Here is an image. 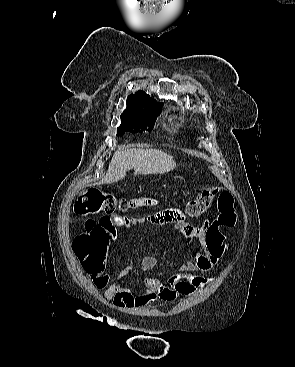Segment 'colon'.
<instances>
[{
  "label": "colon",
  "mask_w": 295,
  "mask_h": 367,
  "mask_svg": "<svg viewBox=\"0 0 295 367\" xmlns=\"http://www.w3.org/2000/svg\"><path fill=\"white\" fill-rule=\"evenodd\" d=\"M215 202L219 217L208 229L207 242L213 251L220 252L223 249L224 237L218 227L232 228L236 222L233 198L228 192H221L215 186L204 189L196 198L188 201L182 216L198 217L207 212ZM132 205V201L118 198L97 188H90L78 197L74 204V211L80 215L103 211L104 216H111L117 210L124 211L132 208ZM107 242L108 237L102 226L91 219L86 221L85 232L73 241V250L91 277L101 274L104 270Z\"/></svg>",
  "instance_id": "colon-1"
}]
</instances>
